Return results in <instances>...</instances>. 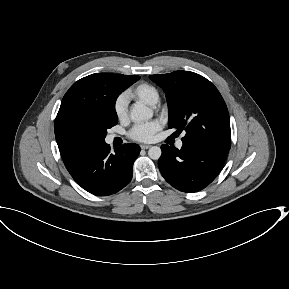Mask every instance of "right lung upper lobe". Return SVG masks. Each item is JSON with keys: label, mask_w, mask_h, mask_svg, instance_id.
I'll return each mask as SVG.
<instances>
[{"label": "right lung upper lobe", "mask_w": 289, "mask_h": 289, "mask_svg": "<svg viewBox=\"0 0 289 289\" xmlns=\"http://www.w3.org/2000/svg\"><path fill=\"white\" fill-rule=\"evenodd\" d=\"M123 76L125 75L92 74L75 82L64 95L55 119V137L66 167L72 166L82 157L74 153L66 142L65 130L68 124L73 119L93 114L101 97L106 95L110 86Z\"/></svg>", "instance_id": "obj_1"}]
</instances>
